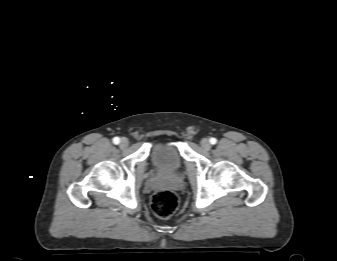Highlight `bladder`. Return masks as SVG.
I'll list each match as a JSON object with an SVG mask.
<instances>
[{
	"label": "bladder",
	"instance_id": "1",
	"mask_svg": "<svg viewBox=\"0 0 337 261\" xmlns=\"http://www.w3.org/2000/svg\"><path fill=\"white\" fill-rule=\"evenodd\" d=\"M150 156L154 167L164 173H176L183 165L179 148L169 142L156 143Z\"/></svg>",
	"mask_w": 337,
	"mask_h": 261
}]
</instances>
